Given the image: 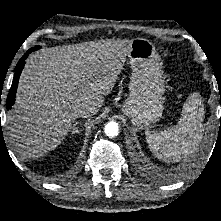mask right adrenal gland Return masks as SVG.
<instances>
[{"instance_id": "2a0ac1e0", "label": "right adrenal gland", "mask_w": 221, "mask_h": 221, "mask_svg": "<svg viewBox=\"0 0 221 221\" xmlns=\"http://www.w3.org/2000/svg\"><path fill=\"white\" fill-rule=\"evenodd\" d=\"M79 124V122H75L74 124H73V126H72V134H80V130H79V128H78V125Z\"/></svg>"}]
</instances>
